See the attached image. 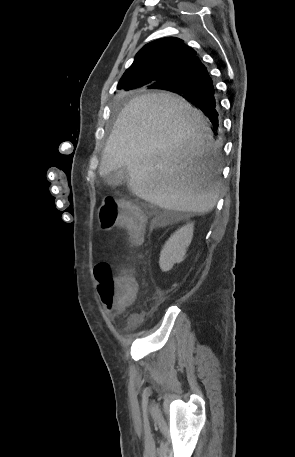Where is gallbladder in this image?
Here are the masks:
<instances>
[{"label":"gallbladder","instance_id":"1","mask_svg":"<svg viewBox=\"0 0 295 457\" xmlns=\"http://www.w3.org/2000/svg\"><path fill=\"white\" fill-rule=\"evenodd\" d=\"M105 180L108 185L110 186H118L128 182L129 180V172L126 167H122L116 171L109 173Z\"/></svg>","mask_w":295,"mask_h":457}]
</instances>
